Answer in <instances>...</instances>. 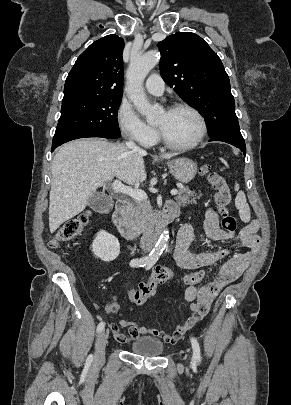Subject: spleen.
I'll use <instances>...</instances> for the list:
<instances>
[{
	"label": "spleen",
	"instance_id": "spleen-1",
	"mask_svg": "<svg viewBox=\"0 0 291 405\" xmlns=\"http://www.w3.org/2000/svg\"><path fill=\"white\" fill-rule=\"evenodd\" d=\"M220 160L228 167L227 162L220 158ZM235 191H237V195L235 198V206L239 210V214L242 220H249L250 219V209L249 205L246 201V196L243 191H239V184H235Z\"/></svg>",
	"mask_w": 291,
	"mask_h": 405
}]
</instances>
